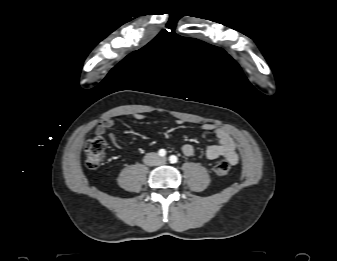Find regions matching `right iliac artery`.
Masks as SVG:
<instances>
[{"label": "right iliac artery", "mask_w": 337, "mask_h": 261, "mask_svg": "<svg viewBox=\"0 0 337 261\" xmlns=\"http://www.w3.org/2000/svg\"><path fill=\"white\" fill-rule=\"evenodd\" d=\"M158 154L163 157L166 155V151L164 149H160Z\"/></svg>", "instance_id": "82829eb1"}]
</instances>
